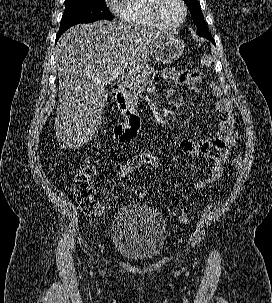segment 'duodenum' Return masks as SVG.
<instances>
[{
  "label": "duodenum",
  "mask_w": 272,
  "mask_h": 303,
  "mask_svg": "<svg viewBox=\"0 0 272 303\" xmlns=\"http://www.w3.org/2000/svg\"><path fill=\"white\" fill-rule=\"evenodd\" d=\"M113 87L115 90L116 104L124 121L113 125L109 129V132L118 142L124 143L128 142L138 131L140 118L138 114L130 108L127 102L124 83L122 81H116Z\"/></svg>",
  "instance_id": "410a0bca"
}]
</instances>
